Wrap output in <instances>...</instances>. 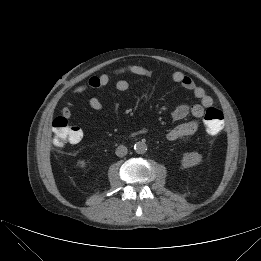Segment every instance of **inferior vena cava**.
Segmentation results:
<instances>
[{"instance_id":"602c4592","label":"inferior vena cava","mask_w":261,"mask_h":261,"mask_svg":"<svg viewBox=\"0 0 261 261\" xmlns=\"http://www.w3.org/2000/svg\"><path fill=\"white\" fill-rule=\"evenodd\" d=\"M127 152H128L127 147L120 145V146L117 147L115 153L118 157H124L127 154Z\"/></svg>"}]
</instances>
